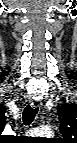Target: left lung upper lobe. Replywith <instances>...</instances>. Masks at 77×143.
<instances>
[{
  "instance_id": "obj_1",
  "label": "left lung upper lobe",
  "mask_w": 77,
  "mask_h": 143,
  "mask_svg": "<svg viewBox=\"0 0 77 143\" xmlns=\"http://www.w3.org/2000/svg\"><path fill=\"white\" fill-rule=\"evenodd\" d=\"M60 119V132L65 143H72L71 139L77 138V107L71 104H64L58 107Z\"/></svg>"
}]
</instances>
